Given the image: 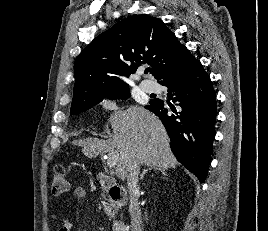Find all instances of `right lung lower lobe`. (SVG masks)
Returning a JSON list of instances; mask_svg holds the SVG:
<instances>
[{
	"label": "right lung lower lobe",
	"mask_w": 268,
	"mask_h": 231,
	"mask_svg": "<svg viewBox=\"0 0 268 231\" xmlns=\"http://www.w3.org/2000/svg\"><path fill=\"white\" fill-rule=\"evenodd\" d=\"M161 85L175 104L153 99L145 108L163 122L177 160L194 173L201 183L206 179L215 137L216 97L209 75L199 60L164 77Z\"/></svg>",
	"instance_id": "98d812e1"
}]
</instances>
